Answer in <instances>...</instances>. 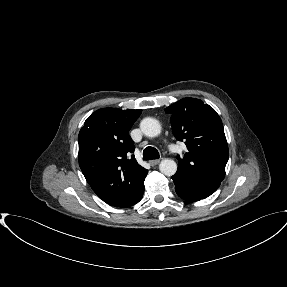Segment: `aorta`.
<instances>
[{
    "mask_svg": "<svg viewBox=\"0 0 287 287\" xmlns=\"http://www.w3.org/2000/svg\"><path fill=\"white\" fill-rule=\"evenodd\" d=\"M140 129L147 137H156L161 133V125L158 120L146 117L140 122ZM161 173L172 176L177 171V164L172 159H163L159 165Z\"/></svg>",
    "mask_w": 287,
    "mask_h": 287,
    "instance_id": "obj_1",
    "label": "aorta"
}]
</instances>
